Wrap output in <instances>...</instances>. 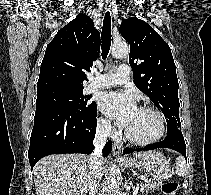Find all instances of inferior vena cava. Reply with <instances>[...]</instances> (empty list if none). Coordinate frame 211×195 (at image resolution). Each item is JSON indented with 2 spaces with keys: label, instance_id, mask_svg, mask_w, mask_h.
<instances>
[{
  "label": "inferior vena cava",
  "instance_id": "1",
  "mask_svg": "<svg viewBox=\"0 0 211 195\" xmlns=\"http://www.w3.org/2000/svg\"><path fill=\"white\" fill-rule=\"evenodd\" d=\"M111 130L112 126L110 121H105L97 126L93 141L95 151L88 156L90 170L88 176L89 195H96L97 185L102 177V159L100 151L104 147L107 137L111 134Z\"/></svg>",
  "mask_w": 211,
  "mask_h": 195
}]
</instances>
